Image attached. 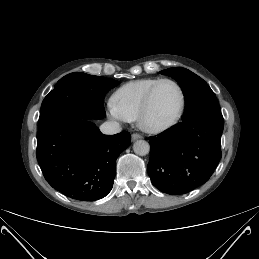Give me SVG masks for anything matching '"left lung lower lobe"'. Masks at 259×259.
I'll return each mask as SVG.
<instances>
[{"mask_svg": "<svg viewBox=\"0 0 259 259\" xmlns=\"http://www.w3.org/2000/svg\"><path fill=\"white\" fill-rule=\"evenodd\" d=\"M223 127L222 113L210 112L150 137L152 184L163 193L182 195L206 183L222 156Z\"/></svg>", "mask_w": 259, "mask_h": 259, "instance_id": "0a47b994", "label": "left lung lower lobe"}]
</instances>
